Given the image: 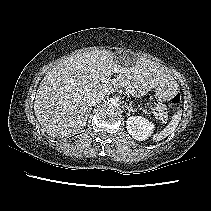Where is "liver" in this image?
<instances>
[{
  "instance_id": "obj_1",
  "label": "liver",
  "mask_w": 211,
  "mask_h": 211,
  "mask_svg": "<svg viewBox=\"0 0 211 211\" xmlns=\"http://www.w3.org/2000/svg\"><path fill=\"white\" fill-rule=\"evenodd\" d=\"M114 73L116 79L106 78ZM172 80L164 67L143 57L134 58L131 66L124 67L109 50L84 52L67 58L47 73L37 90L34 111L49 135L67 137L86 125L89 96L98 92L110 94L118 88L128 93L141 88L146 94Z\"/></svg>"
}]
</instances>
